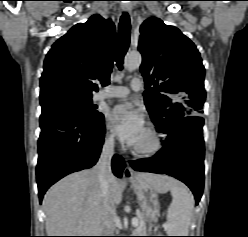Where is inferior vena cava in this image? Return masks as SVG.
Listing matches in <instances>:
<instances>
[{"instance_id":"obj_1","label":"inferior vena cava","mask_w":248,"mask_h":237,"mask_svg":"<svg viewBox=\"0 0 248 237\" xmlns=\"http://www.w3.org/2000/svg\"><path fill=\"white\" fill-rule=\"evenodd\" d=\"M114 154V139L109 137L105 140L102 152L97 162L101 198H102V231L104 236H113L116 229V210L110 193L111 160Z\"/></svg>"}]
</instances>
